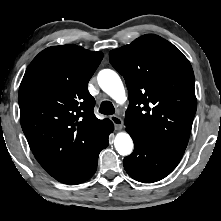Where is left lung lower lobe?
Wrapping results in <instances>:
<instances>
[{
	"label": "left lung lower lobe",
	"mask_w": 221,
	"mask_h": 221,
	"mask_svg": "<svg viewBox=\"0 0 221 221\" xmlns=\"http://www.w3.org/2000/svg\"><path fill=\"white\" fill-rule=\"evenodd\" d=\"M134 141V152L124 158L126 172L133 179L153 183L169 175L180 162L184 150L165 147L146 139L136 128L126 125Z\"/></svg>",
	"instance_id": "obj_1"
}]
</instances>
